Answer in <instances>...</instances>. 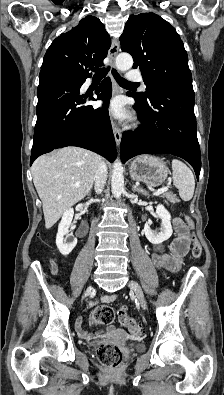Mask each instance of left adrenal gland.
Segmentation results:
<instances>
[{
    "label": "left adrenal gland",
    "mask_w": 224,
    "mask_h": 395,
    "mask_svg": "<svg viewBox=\"0 0 224 395\" xmlns=\"http://www.w3.org/2000/svg\"><path fill=\"white\" fill-rule=\"evenodd\" d=\"M132 190H133L134 192L142 193L143 195H148V193H147L146 191H144V190L141 189V188H138V187L135 186V185L132 186Z\"/></svg>",
    "instance_id": "obj_1"
}]
</instances>
